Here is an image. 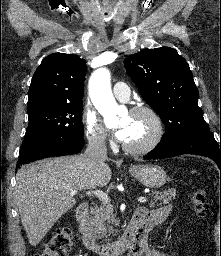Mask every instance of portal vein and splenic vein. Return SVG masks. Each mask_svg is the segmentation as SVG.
I'll use <instances>...</instances> for the list:
<instances>
[{
    "label": "portal vein and splenic vein",
    "instance_id": "18ae733b",
    "mask_svg": "<svg viewBox=\"0 0 221 256\" xmlns=\"http://www.w3.org/2000/svg\"><path fill=\"white\" fill-rule=\"evenodd\" d=\"M91 192L96 196L98 197L101 201H104V202H109L110 199L107 195V193H104L103 191L101 190H91ZM78 191L77 190H72L71 191V195H75L77 194ZM138 202L140 203H146L147 202V198L146 197H138L137 199Z\"/></svg>",
    "mask_w": 221,
    "mask_h": 256
}]
</instances>
